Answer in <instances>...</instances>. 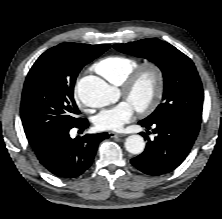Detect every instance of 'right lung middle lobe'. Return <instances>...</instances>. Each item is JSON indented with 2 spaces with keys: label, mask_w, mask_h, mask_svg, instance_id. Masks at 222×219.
<instances>
[{
  "label": "right lung middle lobe",
  "mask_w": 222,
  "mask_h": 219,
  "mask_svg": "<svg viewBox=\"0 0 222 219\" xmlns=\"http://www.w3.org/2000/svg\"><path fill=\"white\" fill-rule=\"evenodd\" d=\"M109 47L62 43L37 59L26 77L21 100V119L29 141L47 139L81 119L73 98L76 77Z\"/></svg>",
  "instance_id": "dd1d6c3e"
}]
</instances>
